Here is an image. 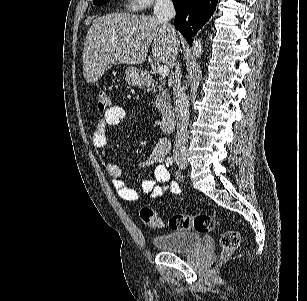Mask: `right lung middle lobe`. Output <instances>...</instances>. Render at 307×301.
<instances>
[{"label": "right lung middle lobe", "instance_id": "right-lung-middle-lobe-1", "mask_svg": "<svg viewBox=\"0 0 307 301\" xmlns=\"http://www.w3.org/2000/svg\"><path fill=\"white\" fill-rule=\"evenodd\" d=\"M109 0H94L93 4L100 6L102 4H105L106 2H108Z\"/></svg>", "mask_w": 307, "mask_h": 301}]
</instances>
